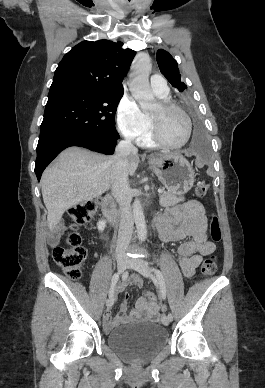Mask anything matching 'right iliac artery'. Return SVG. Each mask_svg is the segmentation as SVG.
I'll use <instances>...</instances> for the list:
<instances>
[{"label": "right iliac artery", "instance_id": "1", "mask_svg": "<svg viewBox=\"0 0 265 388\" xmlns=\"http://www.w3.org/2000/svg\"><path fill=\"white\" fill-rule=\"evenodd\" d=\"M118 280H119V273H115L112 277V280H111V286L109 289V297H113L114 289H115V286H116V283L118 282Z\"/></svg>", "mask_w": 265, "mask_h": 388}]
</instances>
